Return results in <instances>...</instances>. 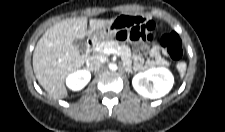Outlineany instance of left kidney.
I'll return each instance as SVG.
<instances>
[{"instance_id": "left-kidney-1", "label": "left kidney", "mask_w": 225, "mask_h": 132, "mask_svg": "<svg viewBox=\"0 0 225 132\" xmlns=\"http://www.w3.org/2000/svg\"><path fill=\"white\" fill-rule=\"evenodd\" d=\"M173 83L172 73L164 67L140 72L132 79V85L137 93L150 99H157L169 93Z\"/></svg>"}]
</instances>
